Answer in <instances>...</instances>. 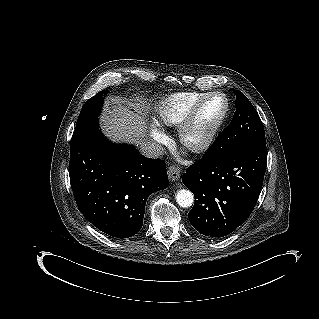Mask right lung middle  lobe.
Wrapping results in <instances>:
<instances>
[{
	"mask_svg": "<svg viewBox=\"0 0 319 319\" xmlns=\"http://www.w3.org/2000/svg\"><path fill=\"white\" fill-rule=\"evenodd\" d=\"M107 93L108 90L100 91L95 96L87 100L79 114L76 126L81 125L88 120L98 116L101 111L104 95Z\"/></svg>",
	"mask_w": 319,
	"mask_h": 319,
	"instance_id": "1",
	"label": "right lung middle lobe"
}]
</instances>
